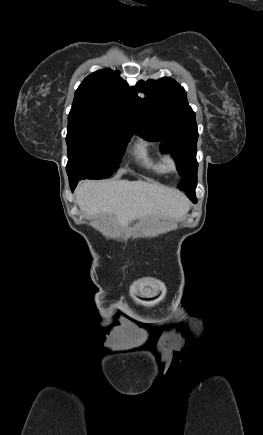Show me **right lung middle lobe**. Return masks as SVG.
<instances>
[{"instance_id": "obj_1", "label": "right lung middle lobe", "mask_w": 263, "mask_h": 435, "mask_svg": "<svg viewBox=\"0 0 263 435\" xmlns=\"http://www.w3.org/2000/svg\"><path fill=\"white\" fill-rule=\"evenodd\" d=\"M133 133L82 116L68 117L69 181L111 176L118 169Z\"/></svg>"}]
</instances>
